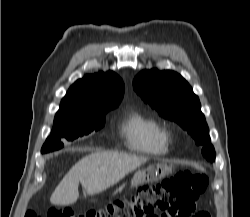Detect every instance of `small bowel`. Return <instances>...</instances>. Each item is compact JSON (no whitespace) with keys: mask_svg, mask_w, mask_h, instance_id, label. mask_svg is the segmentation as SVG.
I'll use <instances>...</instances> for the list:
<instances>
[{"mask_svg":"<svg viewBox=\"0 0 250 217\" xmlns=\"http://www.w3.org/2000/svg\"><path fill=\"white\" fill-rule=\"evenodd\" d=\"M193 210H194V209H191L190 213H191ZM186 217H187V215H186Z\"/></svg>","mask_w":250,"mask_h":217,"instance_id":"1","label":"small bowel"}]
</instances>
